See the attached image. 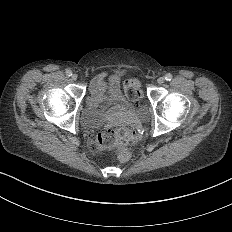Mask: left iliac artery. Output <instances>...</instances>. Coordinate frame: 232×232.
<instances>
[{"label": "left iliac artery", "mask_w": 232, "mask_h": 232, "mask_svg": "<svg viewBox=\"0 0 232 232\" xmlns=\"http://www.w3.org/2000/svg\"><path fill=\"white\" fill-rule=\"evenodd\" d=\"M172 78H173V76H172V74H170V73H167V74L165 75V80H166V81H171Z\"/></svg>", "instance_id": "left-iliac-artery-1"}]
</instances>
